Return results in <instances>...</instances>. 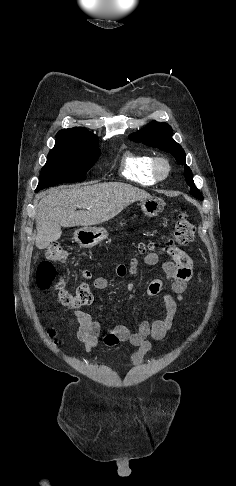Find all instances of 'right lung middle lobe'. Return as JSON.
I'll return each mask as SVG.
<instances>
[{
  "label": "right lung middle lobe",
  "instance_id": "right-lung-middle-lobe-1",
  "mask_svg": "<svg viewBox=\"0 0 236 486\" xmlns=\"http://www.w3.org/2000/svg\"><path fill=\"white\" fill-rule=\"evenodd\" d=\"M100 156L98 143L89 144L69 139H56L42 168L35 192L63 182L85 180L87 171Z\"/></svg>",
  "mask_w": 236,
  "mask_h": 486
}]
</instances>
